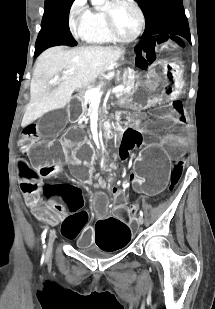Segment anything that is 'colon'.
<instances>
[{"mask_svg": "<svg viewBox=\"0 0 215 309\" xmlns=\"http://www.w3.org/2000/svg\"><path fill=\"white\" fill-rule=\"evenodd\" d=\"M43 159L45 160V163L43 165H51L56 163L55 158L51 155L44 156ZM77 221L83 224L85 221L84 216L82 214L77 215Z\"/></svg>", "mask_w": 215, "mask_h": 309, "instance_id": "colon-1", "label": "colon"}]
</instances>
